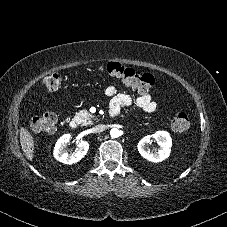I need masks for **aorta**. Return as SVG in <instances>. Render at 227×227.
<instances>
[{
  "instance_id": "obj_1",
  "label": "aorta",
  "mask_w": 227,
  "mask_h": 227,
  "mask_svg": "<svg viewBox=\"0 0 227 227\" xmlns=\"http://www.w3.org/2000/svg\"><path fill=\"white\" fill-rule=\"evenodd\" d=\"M110 135L112 138H118L120 136V131L117 128L110 130Z\"/></svg>"
}]
</instances>
